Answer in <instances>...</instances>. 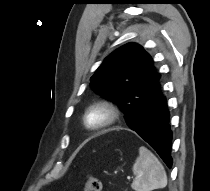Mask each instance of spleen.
I'll return each mask as SVG.
<instances>
[{
  "instance_id": "3e777b00",
  "label": "spleen",
  "mask_w": 210,
  "mask_h": 191,
  "mask_svg": "<svg viewBox=\"0 0 210 191\" xmlns=\"http://www.w3.org/2000/svg\"><path fill=\"white\" fill-rule=\"evenodd\" d=\"M135 180L131 184L135 191H152L167 185V175L161 162L147 148H139V156L133 165Z\"/></svg>"
}]
</instances>
